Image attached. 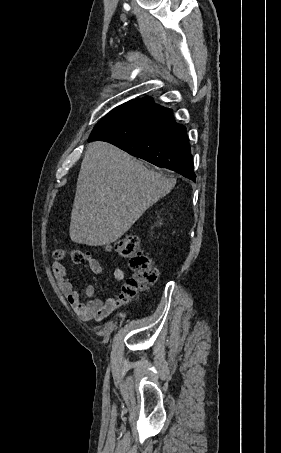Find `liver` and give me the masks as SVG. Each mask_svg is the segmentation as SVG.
<instances>
[{
    "mask_svg": "<svg viewBox=\"0 0 281 453\" xmlns=\"http://www.w3.org/2000/svg\"><path fill=\"white\" fill-rule=\"evenodd\" d=\"M175 182L113 144L90 142L77 178L71 241L90 247L115 243Z\"/></svg>",
    "mask_w": 281,
    "mask_h": 453,
    "instance_id": "1",
    "label": "liver"
}]
</instances>
